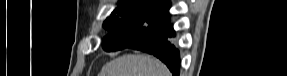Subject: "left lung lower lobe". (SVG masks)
<instances>
[{
  "label": "left lung lower lobe",
  "mask_w": 287,
  "mask_h": 76,
  "mask_svg": "<svg viewBox=\"0 0 287 76\" xmlns=\"http://www.w3.org/2000/svg\"><path fill=\"white\" fill-rule=\"evenodd\" d=\"M174 36L172 25L166 24L125 48H133L153 54L167 65L173 76H179V51L170 41V38Z\"/></svg>",
  "instance_id": "0a47b994"
}]
</instances>
